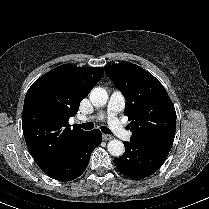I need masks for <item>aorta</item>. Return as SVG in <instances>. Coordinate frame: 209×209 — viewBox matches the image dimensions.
I'll return each mask as SVG.
<instances>
[{
  "instance_id": "obj_1",
  "label": "aorta",
  "mask_w": 209,
  "mask_h": 209,
  "mask_svg": "<svg viewBox=\"0 0 209 209\" xmlns=\"http://www.w3.org/2000/svg\"><path fill=\"white\" fill-rule=\"evenodd\" d=\"M108 100V93L104 88L95 87L90 92V101L95 107H102L107 103ZM108 152L114 156L119 157L121 156L124 151L125 147L122 141L114 139L111 140L107 144Z\"/></svg>"
}]
</instances>
